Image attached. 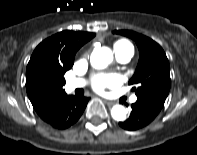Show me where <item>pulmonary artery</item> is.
Instances as JSON below:
<instances>
[{
  "mask_svg": "<svg viewBox=\"0 0 197 155\" xmlns=\"http://www.w3.org/2000/svg\"><path fill=\"white\" fill-rule=\"evenodd\" d=\"M114 51L117 60L121 63L129 62L134 54L133 50L129 48L115 49ZM84 85H85V80L80 78L71 79L66 83V87L69 91H73L77 88L83 87ZM136 100H137L136 96H133L131 98L132 103L136 102Z\"/></svg>",
  "mask_w": 197,
  "mask_h": 155,
  "instance_id": "e3ab8cb5",
  "label": "pulmonary artery"
}]
</instances>
